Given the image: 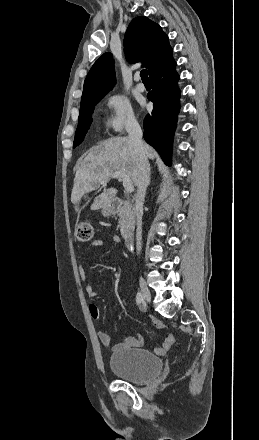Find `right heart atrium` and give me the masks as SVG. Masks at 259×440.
Wrapping results in <instances>:
<instances>
[{
	"label": "right heart atrium",
	"mask_w": 259,
	"mask_h": 440,
	"mask_svg": "<svg viewBox=\"0 0 259 440\" xmlns=\"http://www.w3.org/2000/svg\"><path fill=\"white\" fill-rule=\"evenodd\" d=\"M108 114L105 126L114 133H121L136 124V117L128 98L119 93H113L106 98Z\"/></svg>",
	"instance_id": "1"
}]
</instances>
